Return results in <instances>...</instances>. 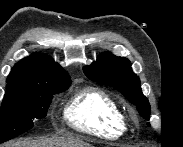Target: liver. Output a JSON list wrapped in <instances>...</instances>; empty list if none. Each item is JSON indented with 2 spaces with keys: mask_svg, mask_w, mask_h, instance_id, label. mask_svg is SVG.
I'll list each match as a JSON object with an SVG mask.
<instances>
[{
  "mask_svg": "<svg viewBox=\"0 0 183 147\" xmlns=\"http://www.w3.org/2000/svg\"><path fill=\"white\" fill-rule=\"evenodd\" d=\"M6 147H92L90 144L75 137H54L37 140L25 139L7 144Z\"/></svg>",
  "mask_w": 183,
  "mask_h": 147,
  "instance_id": "liver-1",
  "label": "liver"
}]
</instances>
